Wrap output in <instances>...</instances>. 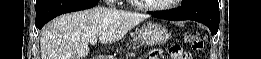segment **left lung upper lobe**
Segmentation results:
<instances>
[{"mask_svg":"<svg viewBox=\"0 0 261 59\" xmlns=\"http://www.w3.org/2000/svg\"><path fill=\"white\" fill-rule=\"evenodd\" d=\"M198 2H205V3H217L218 0H182V6L193 4V3H198Z\"/></svg>","mask_w":261,"mask_h":59,"instance_id":"left-lung-upper-lobe-1","label":"left lung upper lobe"}]
</instances>
